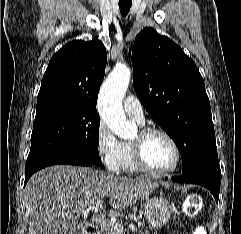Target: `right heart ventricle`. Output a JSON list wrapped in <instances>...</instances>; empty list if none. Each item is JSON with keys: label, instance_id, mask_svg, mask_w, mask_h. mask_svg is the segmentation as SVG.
Wrapping results in <instances>:
<instances>
[{"label": "right heart ventricle", "instance_id": "obj_1", "mask_svg": "<svg viewBox=\"0 0 241 234\" xmlns=\"http://www.w3.org/2000/svg\"><path fill=\"white\" fill-rule=\"evenodd\" d=\"M119 171L127 174H133L139 171L134 163L132 148L130 142L121 143V153L119 158Z\"/></svg>", "mask_w": 241, "mask_h": 234}]
</instances>
